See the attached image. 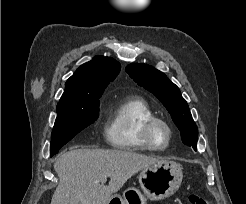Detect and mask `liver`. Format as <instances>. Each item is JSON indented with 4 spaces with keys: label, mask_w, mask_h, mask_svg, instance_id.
Here are the masks:
<instances>
[{
    "label": "liver",
    "mask_w": 246,
    "mask_h": 204,
    "mask_svg": "<svg viewBox=\"0 0 246 204\" xmlns=\"http://www.w3.org/2000/svg\"><path fill=\"white\" fill-rule=\"evenodd\" d=\"M157 162L125 150H70L54 163L60 182L51 204H106L128 179ZM107 177L110 181L104 185Z\"/></svg>",
    "instance_id": "obj_1"
}]
</instances>
